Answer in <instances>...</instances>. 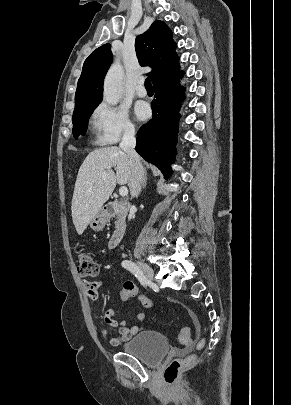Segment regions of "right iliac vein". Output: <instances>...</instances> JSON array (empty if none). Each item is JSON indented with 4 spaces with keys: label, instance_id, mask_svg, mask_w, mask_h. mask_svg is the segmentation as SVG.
<instances>
[{
    "label": "right iliac vein",
    "instance_id": "obj_1",
    "mask_svg": "<svg viewBox=\"0 0 291 405\" xmlns=\"http://www.w3.org/2000/svg\"><path fill=\"white\" fill-rule=\"evenodd\" d=\"M138 268L140 269V271L144 274V276L149 279V280H153L154 277V271L152 270V268L147 265L146 263L143 262H137Z\"/></svg>",
    "mask_w": 291,
    "mask_h": 405
}]
</instances>
